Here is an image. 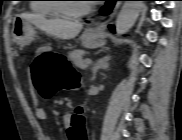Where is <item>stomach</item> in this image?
Returning <instances> with one entry per match:
<instances>
[{
  "label": "stomach",
  "instance_id": "0dacf381",
  "mask_svg": "<svg viewBox=\"0 0 182 140\" xmlns=\"http://www.w3.org/2000/svg\"><path fill=\"white\" fill-rule=\"evenodd\" d=\"M35 36L36 32L31 22L21 16L14 19L12 37L18 45H28ZM80 39L83 46L87 48H98L104 45L103 35L92 28L85 29Z\"/></svg>",
  "mask_w": 182,
  "mask_h": 140
}]
</instances>
